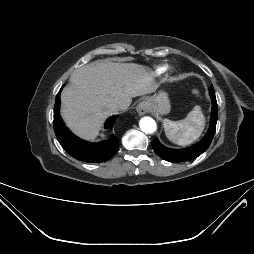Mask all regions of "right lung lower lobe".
Listing matches in <instances>:
<instances>
[{"mask_svg":"<svg viewBox=\"0 0 254 254\" xmlns=\"http://www.w3.org/2000/svg\"><path fill=\"white\" fill-rule=\"evenodd\" d=\"M60 103L59 92L56 96L54 106V130L64 150L72 157L84 162L101 163L110 159L119 147V140L112 135L107 141L90 143L75 136L65 126L60 117ZM116 118V116L108 118L105 122V128H112Z\"/></svg>","mask_w":254,"mask_h":254,"instance_id":"right-lung-lower-lobe-1","label":"right lung lower lobe"}]
</instances>
